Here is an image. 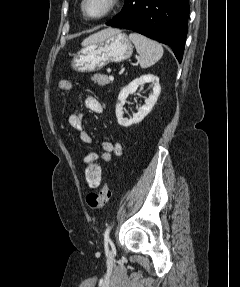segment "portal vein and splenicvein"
<instances>
[{
	"label": "portal vein and splenic vein",
	"mask_w": 240,
	"mask_h": 287,
	"mask_svg": "<svg viewBox=\"0 0 240 287\" xmlns=\"http://www.w3.org/2000/svg\"><path fill=\"white\" fill-rule=\"evenodd\" d=\"M109 79H110V80H113V79H114V77H113V76H109Z\"/></svg>",
	"instance_id": "1"
}]
</instances>
